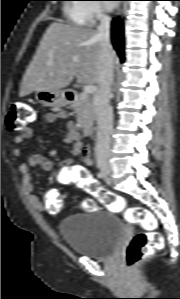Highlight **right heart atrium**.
I'll return each mask as SVG.
<instances>
[{
    "instance_id": "1",
    "label": "right heart atrium",
    "mask_w": 180,
    "mask_h": 299,
    "mask_svg": "<svg viewBox=\"0 0 180 299\" xmlns=\"http://www.w3.org/2000/svg\"><path fill=\"white\" fill-rule=\"evenodd\" d=\"M93 3L87 5L86 12L91 21L100 20L105 16V10L101 2L98 0L92 1Z\"/></svg>"
}]
</instances>
